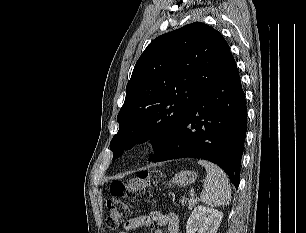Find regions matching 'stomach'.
Instances as JSON below:
<instances>
[{
    "mask_svg": "<svg viewBox=\"0 0 306 233\" xmlns=\"http://www.w3.org/2000/svg\"><path fill=\"white\" fill-rule=\"evenodd\" d=\"M196 177L197 175L195 172L184 170L175 174L173 179L169 182V186H171L172 184L179 186H188L195 181Z\"/></svg>",
    "mask_w": 306,
    "mask_h": 233,
    "instance_id": "stomach-1",
    "label": "stomach"
}]
</instances>
